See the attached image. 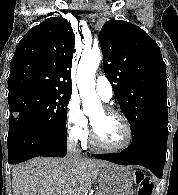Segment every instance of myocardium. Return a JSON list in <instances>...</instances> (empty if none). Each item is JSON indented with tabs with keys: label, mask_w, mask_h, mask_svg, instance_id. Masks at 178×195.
I'll use <instances>...</instances> for the list:
<instances>
[{
	"label": "myocardium",
	"mask_w": 178,
	"mask_h": 195,
	"mask_svg": "<svg viewBox=\"0 0 178 195\" xmlns=\"http://www.w3.org/2000/svg\"><path fill=\"white\" fill-rule=\"evenodd\" d=\"M103 110L107 115L112 116V117H116L117 119H119L122 122L123 126L125 127L126 133H127V138L123 144L118 145V146H110V145L104 144L103 142L100 141V139L95 131V128L92 124L91 137H92L93 143L96 146H98L99 148H102V149L108 150V151H113V152L121 151V150L128 148L131 145L132 140H133V130L131 128L130 123L121 113H119L118 111H116L113 108L106 107Z\"/></svg>",
	"instance_id": "myocardium-1"
}]
</instances>
